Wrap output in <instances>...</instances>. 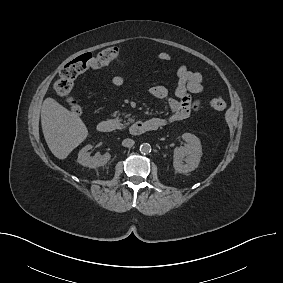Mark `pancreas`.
<instances>
[{"mask_svg":"<svg viewBox=\"0 0 283 283\" xmlns=\"http://www.w3.org/2000/svg\"><path fill=\"white\" fill-rule=\"evenodd\" d=\"M116 121L119 123V128L122 129L123 127H125L126 125H128V123H121V120H119L118 118H116ZM129 122H133L134 120L129 118L128 119Z\"/></svg>","mask_w":283,"mask_h":283,"instance_id":"1","label":"pancreas"}]
</instances>
